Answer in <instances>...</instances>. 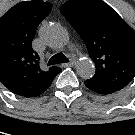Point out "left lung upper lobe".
<instances>
[{
	"mask_svg": "<svg viewBox=\"0 0 135 135\" xmlns=\"http://www.w3.org/2000/svg\"><path fill=\"white\" fill-rule=\"evenodd\" d=\"M60 10L95 63L88 80L113 91L124 88L135 76V31L102 0H69Z\"/></svg>",
	"mask_w": 135,
	"mask_h": 135,
	"instance_id": "left-lung-upper-lobe-1",
	"label": "left lung upper lobe"
}]
</instances>
